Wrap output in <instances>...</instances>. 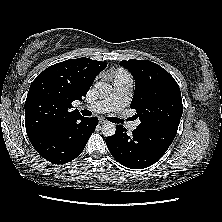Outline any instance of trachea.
<instances>
[{
	"label": "trachea",
	"instance_id": "1",
	"mask_svg": "<svg viewBox=\"0 0 222 222\" xmlns=\"http://www.w3.org/2000/svg\"><path fill=\"white\" fill-rule=\"evenodd\" d=\"M81 113L84 116H91L92 115V113L89 110H86V109L82 110ZM109 120L113 123H123V120L118 119L116 117H110Z\"/></svg>",
	"mask_w": 222,
	"mask_h": 222
}]
</instances>
